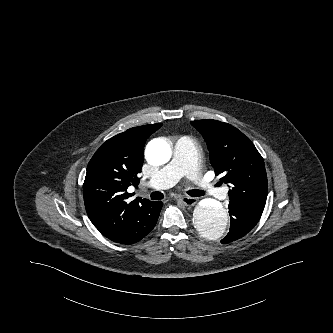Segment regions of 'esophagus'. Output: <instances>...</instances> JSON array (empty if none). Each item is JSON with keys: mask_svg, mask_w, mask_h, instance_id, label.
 Wrapping results in <instances>:
<instances>
[{"mask_svg": "<svg viewBox=\"0 0 333 333\" xmlns=\"http://www.w3.org/2000/svg\"><path fill=\"white\" fill-rule=\"evenodd\" d=\"M179 201L187 207H191L197 203V199L189 196H180Z\"/></svg>", "mask_w": 333, "mask_h": 333, "instance_id": "1", "label": "esophagus"}]
</instances>
